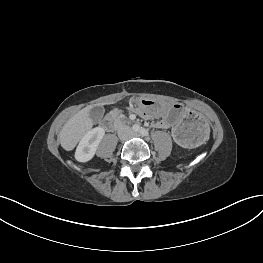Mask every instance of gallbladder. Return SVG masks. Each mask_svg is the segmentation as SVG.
<instances>
[{
  "mask_svg": "<svg viewBox=\"0 0 263 263\" xmlns=\"http://www.w3.org/2000/svg\"><path fill=\"white\" fill-rule=\"evenodd\" d=\"M104 108L102 106H94L90 111V117L94 123H99L103 118Z\"/></svg>",
  "mask_w": 263,
  "mask_h": 263,
  "instance_id": "bac80fb5",
  "label": "gallbladder"
}]
</instances>
